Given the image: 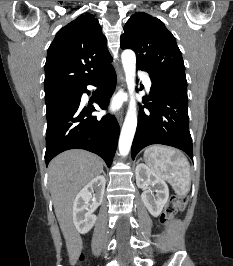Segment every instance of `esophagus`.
Masks as SVG:
<instances>
[{
  "mask_svg": "<svg viewBox=\"0 0 233 266\" xmlns=\"http://www.w3.org/2000/svg\"><path fill=\"white\" fill-rule=\"evenodd\" d=\"M117 81H118V86L117 88L118 89H121L124 87L125 85V76H124V73L122 70H119L117 72ZM116 118H117V121L118 123L121 125L122 122H123V118H124V111L123 109L119 110L116 114Z\"/></svg>",
  "mask_w": 233,
  "mask_h": 266,
  "instance_id": "34e87169",
  "label": "esophagus"
}]
</instances>
